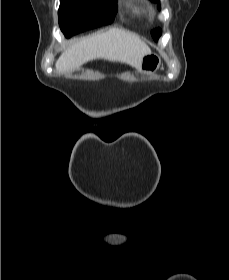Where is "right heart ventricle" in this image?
Masks as SVG:
<instances>
[{
  "label": "right heart ventricle",
  "mask_w": 229,
  "mask_h": 280,
  "mask_svg": "<svg viewBox=\"0 0 229 280\" xmlns=\"http://www.w3.org/2000/svg\"><path fill=\"white\" fill-rule=\"evenodd\" d=\"M131 11H132L133 14H136V15L141 13L140 7L134 2L131 3Z\"/></svg>",
  "instance_id": "right-heart-ventricle-1"
}]
</instances>
